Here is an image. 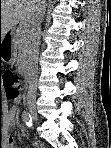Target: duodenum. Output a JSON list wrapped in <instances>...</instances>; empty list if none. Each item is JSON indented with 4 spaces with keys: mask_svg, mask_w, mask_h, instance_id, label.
<instances>
[{
    "mask_svg": "<svg viewBox=\"0 0 111 148\" xmlns=\"http://www.w3.org/2000/svg\"><path fill=\"white\" fill-rule=\"evenodd\" d=\"M26 81H27V83H31L33 81V77L32 76H26Z\"/></svg>",
    "mask_w": 111,
    "mask_h": 148,
    "instance_id": "410a0bca",
    "label": "duodenum"
}]
</instances>
